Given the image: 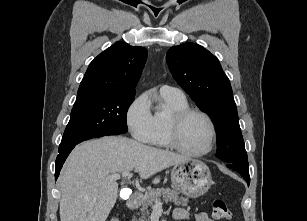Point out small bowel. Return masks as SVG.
I'll return each instance as SVG.
<instances>
[{"label":"small bowel","mask_w":307,"mask_h":221,"mask_svg":"<svg viewBox=\"0 0 307 221\" xmlns=\"http://www.w3.org/2000/svg\"><path fill=\"white\" fill-rule=\"evenodd\" d=\"M173 218L177 221H184L189 218V213L184 208H176L173 211ZM194 221H213L205 212H200L195 215Z\"/></svg>","instance_id":"small-bowel-1"}]
</instances>
